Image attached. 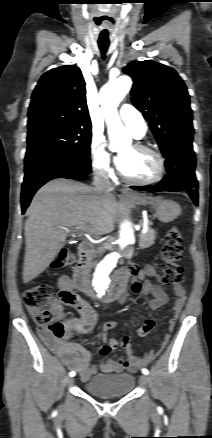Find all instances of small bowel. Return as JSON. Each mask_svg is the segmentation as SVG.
Here are the masks:
<instances>
[{"instance_id": "1", "label": "small bowel", "mask_w": 212, "mask_h": 438, "mask_svg": "<svg viewBox=\"0 0 212 438\" xmlns=\"http://www.w3.org/2000/svg\"><path fill=\"white\" fill-rule=\"evenodd\" d=\"M117 276L120 277L124 283L127 278L131 276H136L138 279L144 280L143 283L138 281L133 282L131 289L135 294L141 296L149 293L154 296L153 300L146 303L145 307L147 309L155 310L164 306L168 302V294L165 288L159 283L160 277L154 266L147 265L142 269H138L135 265H129L121 270ZM150 279L156 280L157 282H153ZM57 288L60 299L64 303L62 296L67 292H73L74 284L68 276L62 275L57 280ZM173 292L175 294L173 316L169 320V333L165 335L162 341V346L169 341L171 332L175 327L176 320L186 301V291L181 284L174 285ZM70 305L80 313L81 318L67 319L62 322L65 327L66 334H70L76 330L84 333H92L95 329L97 317L95 310L87 302L78 297L77 301ZM54 312L57 320H61L65 317V310L58 303L55 304ZM155 325L156 322L153 318H146L143 326L137 330L138 336H146L151 330H153ZM114 327V322L106 323L103 334L104 343L100 347V354L102 356H106L120 345L125 350L127 357L126 359H121L115 356L113 358L102 360L99 367L104 373H115L122 371L136 372L138 369L146 365L149 360L140 358L134 353L130 340L127 337H124L121 340L108 338L107 332ZM39 335L50 347V349L61 357L66 366H68L70 369L76 370L79 373L80 378L83 381L89 380L94 374L97 373L98 367L90 363L91 355L79 344L69 342L63 338H56L47 328L44 327L39 328Z\"/></svg>"}]
</instances>
